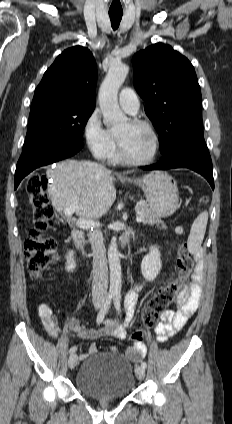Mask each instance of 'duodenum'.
Listing matches in <instances>:
<instances>
[{
  "label": "duodenum",
  "mask_w": 232,
  "mask_h": 424,
  "mask_svg": "<svg viewBox=\"0 0 232 424\" xmlns=\"http://www.w3.org/2000/svg\"><path fill=\"white\" fill-rule=\"evenodd\" d=\"M73 240L79 252L83 258H87V251L85 249V236L82 230H74L72 233ZM131 240L130 235H126L122 238L121 243L127 245Z\"/></svg>",
  "instance_id": "duodenum-1"
}]
</instances>
